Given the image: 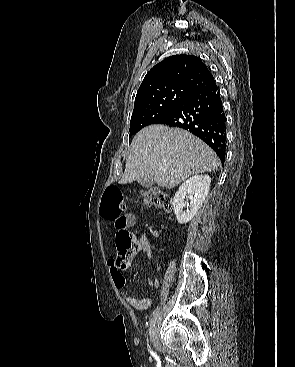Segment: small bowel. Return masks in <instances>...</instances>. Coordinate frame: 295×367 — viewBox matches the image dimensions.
Returning a JSON list of instances; mask_svg holds the SVG:
<instances>
[{"instance_id": "1", "label": "small bowel", "mask_w": 295, "mask_h": 367, "mask_svg": "<svg viewBox=\"0 0 295 367\" xmlns=\"http://www.w3.org/2000/svg\"><path fill=\"white\" fill-rule=\"evenodd\" d=\"M136 224V217L133 213H127L122 216L119 222H115V233H116V241L118 234L123 231L127 230L128 228L134 226ZM141 245L145 249V251L148 254V257L150 259L153 258L152 251L150 249V246L146 240V238H142ZM108 266L110 269V274L112 277V280L116 286V288L120 291L121 296L126 301L128 305H130L132 308L136 310H146L148 309L152 304L151 298H135L131 295H129L124 289L126 286V278L123 275V273L120 271L115 259L111 258L108 260ZM147 284L150 286L158 287L159 286V280L157 278L155 279H148Z\"/></svg>"}]
</instances>
